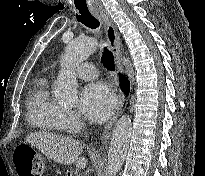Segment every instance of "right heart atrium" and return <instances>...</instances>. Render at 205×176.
<instances>
[{"label":"right heart atrium","mask_w":205,"mask_h":176,"mask_svg":"<svg viewBox=\"0 0 205 176\" xmlns=\"http://www.w3.org/2000/svg\"><path fill=\"white\" fill-rule=\"evenodd\" d=\"M63 120L65 125H78L81 122V118L78 113L72 109H63Z\"/></svg>","instance_id":"obj_1"}]
</instances>
